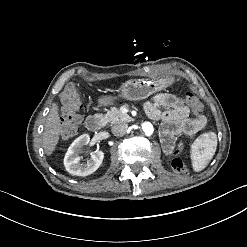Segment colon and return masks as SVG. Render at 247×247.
Segmentation results:
<instances>
[{
  "label": "colon",
  "instance_id": "5ec220e1",
  "mask_svg": "<svg viewBox=\"0 0 247 247\" xmlns=\"http://www.w3.org/2000/svg\"><path fill=\"white\" fill-rule=\"evenodd\" d=\"M185 99L194 108L196 115H201L203 106L198 98L192 93L185 94ZM83 100L80 92L74 84H69L63 90L60 96L61 109V135L63 139L70 140L78 132L82 120ZM180 153V147L174 146L172 156L168 160V165L176 174H188L187 164L180 158L174 157Z\"/></svg>",
  "mask_w": 247,
  "mask_h": 247
}]
</instances>
